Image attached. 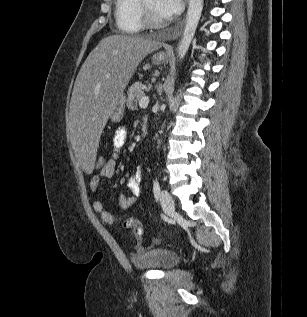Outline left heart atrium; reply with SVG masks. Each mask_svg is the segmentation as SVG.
<instances>
[{
	"mask_svg": "<svg viewBox=\"0 0 307 317\" xmlns=\"http://www.w3.org/2000/svg\"><path fill=\"white\" fill-rule=\"evenodd\" d=\"M182 0H156V9L163 17H172L181 12Z\"/></svg>",
	"mask_w": 307,
	"mask_h": 317,
	"instance_id": "obj_1",
	"label": "left heart atrium"
}]
</instances>
